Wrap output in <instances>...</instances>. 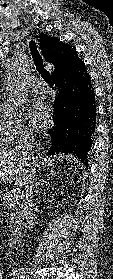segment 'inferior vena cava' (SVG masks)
I'll list each match as a JSON object with an SVG mask.
<instances>
[{
    "instance_id": "obj_1",
    "label": "inferior vena cava",
    "mask_w": 113,
    "mask_h": 279,
    "mask_svg": "<svg viewBox=\"0 0 113 279\" xmlns=\"http://www.w3.org/2000/svg\"><path fill=\"white\" fill-rule=\"evenodd\" d=\"M34 145V136L32 131H26V133L20 138L16 150L22 155L28 156ZM37 185V179L35 178L34 172L29 171L26 182H25V198H24V210L23 214L25 217V231L31 230L33 227V212H34V192Z\"/></svg>"
}]
</instances>
